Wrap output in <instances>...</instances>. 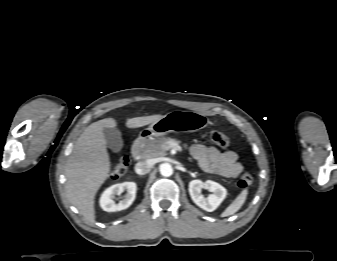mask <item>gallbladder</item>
I'll list each match as a JSON object with an SVG mask.
<instances>
[{
  "label": "gallbladder",
  "mask_w": 337,
  "mask_h": 261,
  "mask_svg": "<svg viewBox=\"0 0 337 261\" xmlns=\"http://www.w3.org/2000/svg\"><path fill=\"white\" fill-rule=\"evenodd\" d=\"M103 133L107 146L114 152H119L123 148L121 133L116 128H104Z\"/></svg>",
  "instance_id": "bac80fb5"
}]
</instances>
